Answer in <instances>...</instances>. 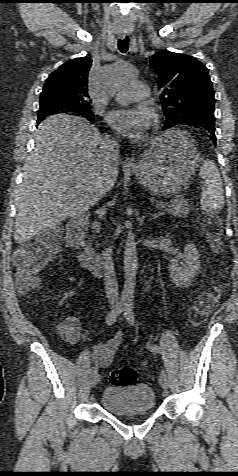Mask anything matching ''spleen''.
<instances>
[{
  "label": "spleen",
  "instance_id": "1",
  "mask_svg": "<svg viewBox=\"0 0 238 476\" xmlns=\"http://www.w3.org/2000/svg\"><path fill=\"white\" fill-rule=\"evenodd\" d=\"M199 175L204 185L200 205L208 212H217L224 204L222 180L218 168L213 161L206 159L203 161Z\"/></svg>",
  "mask_w": 238,
  "mask_h": 476
}]
</instances>
